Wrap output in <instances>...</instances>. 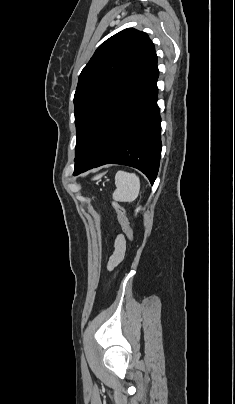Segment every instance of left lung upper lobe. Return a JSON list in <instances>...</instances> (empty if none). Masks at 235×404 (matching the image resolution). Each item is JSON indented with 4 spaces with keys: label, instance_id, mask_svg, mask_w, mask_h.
Here are the masks:
<instances>
[{
    "label": "left lung upper lobe",
    "instance_id": "5c2ea615",
    "mask_svg": "<svg viewBox=\"0 0 235 404\" xmlns=\"http://www.w3.org/2000/svg\"><path fill=\"white\" fill-rule=\"evenodd\" d=\"M157 68L148 35L120 31L95 51L82 70L74 95L77 161L117 107Z\"/></svg>",
    "mask_w": 235,
    "mask_h": 404
}]
</instances>
